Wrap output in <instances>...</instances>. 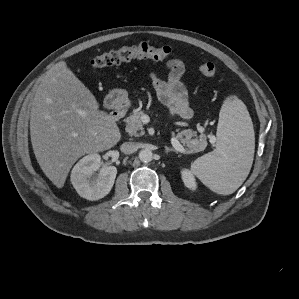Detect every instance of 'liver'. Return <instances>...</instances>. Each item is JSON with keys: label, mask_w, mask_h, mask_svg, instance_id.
<instances>
[{"label": "liver", "mask_w": 299, "mask_h": 299, "mask_svg": "<svg viewBox=\"0 0 299 299\" xmlns=\"http://www.w3.org/2000/svg\"><path fill=\"white\" fill-rule=\"evenodd\" d=\"M30 136L40 168L62 188L79 157L112 148L121 133L115 120L99 110L91 91L60 61L46 72L36 90Z\"/></svg>", "instance_id": "1"}]
</instances>
